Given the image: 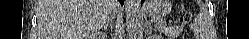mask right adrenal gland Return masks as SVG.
Segmentation results:
<instances>
[{
    "label": "right adrenal gland",
    "instance_id": "obj_1",
    "mask_svg": "<svg viewBox=\"0 0 249 39\" xmlns=\"http://www.w3.org/2000/svg\"><path fill=\"white\" fill-rule=\"evenodd\" d=\"M104 30H106V27L104 26ZM100 36H106V33L104 32V33H101V35Z\"/></svg>",
    "mask_w": 249,
    "mask_h": 39
}]
</instances>
